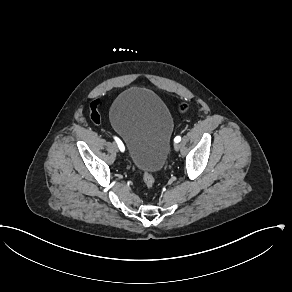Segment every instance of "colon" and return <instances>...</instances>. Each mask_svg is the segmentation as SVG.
I'll return each mask as SVG.
<instances>
[{
    "label": "colon",
    "instance_id": "5ec220e1",
    "mask_svg": "<svg viewBox=\"0 0 292 292\" xmlns=\"http://www.w3.org/2000/svg\"><path fill=\"white\" fill-rule=\"evenodd\" d=\"M100 99H101V97L99 96L97 100L99 101ZM92 106L94 107L95 105L93 104ZM178 107H179V109H183V108H186V105L180 104ZM90 117H91V120L93 122H95V123L99 122V114L92 112ZM142 177H143V182H144L146 189L151 190L155 185L154 176L149 171L145 170L142 174Z\"/></svg>",
    "mask_w": 292,
    "mask_h": 292
}]
</instances>
